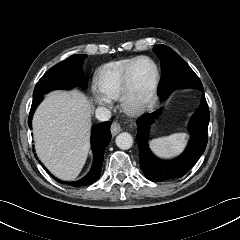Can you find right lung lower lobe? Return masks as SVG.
Returning <instances> with one entry per match:
<instances>
[{
  "label": "right lung lower lobe",
  "instance_id": "1",
  "mask_svg": "<svg viewBox=\"0 0 240 240\" xmlns=\"http://www.w3.org/2000/svg\"><path fill=\"white\" fill-rule=\"evenodd\" d=\"M42 99H43V95H38L36 97H33V102H32L30 115L28 119V125L30 129H31L33 113L36 107L38 106V104L42 101ZM110 126H111V123L107 121L92 127L91 147L94 154V160L89 173L85 177L73 182H64L54 177L48 170H47V173L50 174L59 183L69 184L74 187L91 185L94 182H96L101 173V167L104 159V150L112 137L110 133ZM39 163L42 165L40 161Z\"/></svg>",
  "mask_w": 240,
  "mask_h": 240
}]
</instances>
